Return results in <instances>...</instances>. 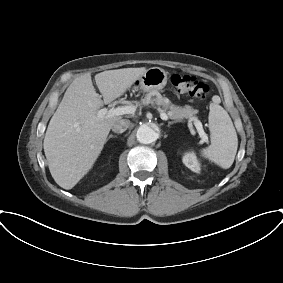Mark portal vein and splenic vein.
Masks as SVG:
<instances>
[{"label":"portal vein and splenic vein","mask_w":283,"mask_h":283,"mask_svg":"<svg viewBox=\"0 0 283 283\" xmlns=\"http://www.w3.org/2000/svg\"><path fill=\"white\" fill-rule=\"evenodd\" d=\"M135 111H136V106H133V105L119 106V107L112 108V109H109V110L107 108H103V109H100L97 112V116L100 117V118L113 117V116H120V115H124V114H133V113H135ZM160 117H161L162 120H168V115L163 111H161ZM194 125H195L201 139L204 142H207L208 136L203 130L202 123L198 119H196V120H194Z\"/></svg>","instance_id":"1"}]
</instances>
